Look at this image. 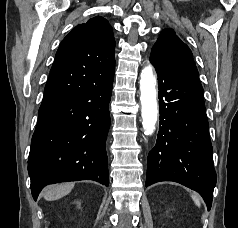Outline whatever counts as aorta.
<instances>
[{"instance_id": "762f6f07", "label": "aorta", "mask_w": 238, "mask_h": 228, "mask_svg": "<svg viewBox=\"0 0 238 228\" xmlns=\"http://www.w3.org/2000/svg\"><path fill=\"white\" fill-rule=\"evenodd\" d=\"M140 101L142 126L145 135H152L156 129L158 116L156 78L153 67L148 64L141 72Z\"/></svg>"}]
</instances>
